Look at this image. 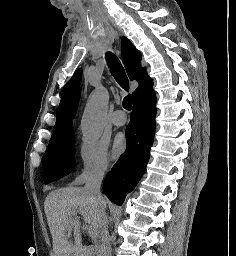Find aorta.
Returning <instances> with one entry per match:
<instances>
[{
	"label": "aorta",
	"mask_w": 236,
	"mask_h": 256,
	"mask_svg": "<svg viewBox=\"0 0 236 256\" xmlns=\"http://www.w3.org/2000/svg\"><path fill=\"white\" fill-rule=\"evenodd\" d=\"M108 100V91L103 86L96 88L95 93L87 103L81 121V130L85 140L95 141L101 137Z\"/></svg>",
	"instance_id": "1"
}]
</instances>
